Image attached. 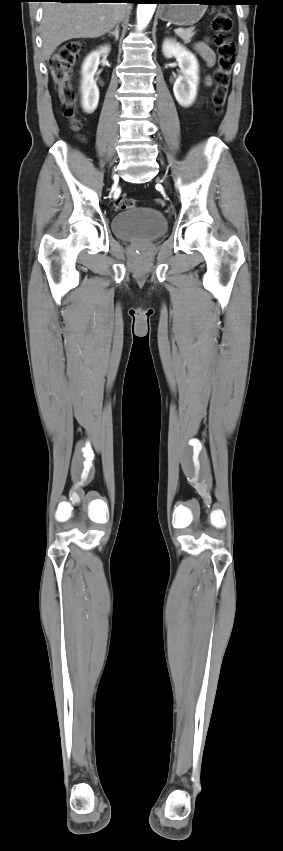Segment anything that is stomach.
<instances>
[{"label": "stomach", "mask_w": 283, "mask_h": 851, "mask_svg": "<svg viewBox=\"0 0 283 851\" xmlns=\"http://www.w3.org/2000/svg\"><path fill=\"white\" fill-rule=\"evenodd\" d=\"M208 0H169L159 7V18L175 25H193L207 9Z\"/></svg>", "instance_id": "1"}]
</instances>
